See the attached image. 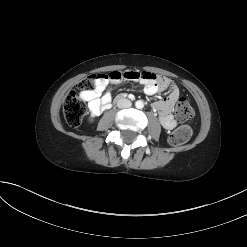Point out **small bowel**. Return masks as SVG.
Masks as SVG:
<instances>
[{
	"mask_svg": "<svg viewBox=\"0 0 247 247\" xmlns=\"http://www.w3.org/2000/svg\"><path fill=\"white\" fill-rule=\"evenodd\" d=\"M100 75L102 77L96 80L92 89L81 93V97L88 103L93 116L100 115L111 106V92L109 90L105 91L109 83L138 81L144 86V91L147 95H155L168 90L167 98L155 102L153 109L158 112L160 123L165 129L172 130L176 127L177 122L172 115V110L179 99L180 92L172 81L159 77L157 73H153L150 70H123Z\"/></svg>",
	"mask_w": 247,
	"mask_h": 247,
	"instance_id": "obj_1",
	"label": "small bowel"
}]
</instances>
